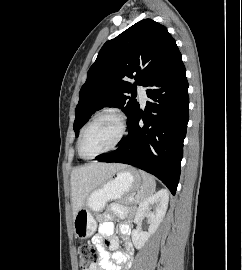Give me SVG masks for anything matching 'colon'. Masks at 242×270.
I'll use <instances>...</instances> for the list:
<instances>
[{
	"instance_id": "obj_1",
	"label": "colon",
	"mask_w": 242,
	"mask_h": 270,
	"mask_svg": "<svg viewBox=\"0 0 242 270\" xmlns=\"http://www.w3.org/2000/svg\"><path fill=\"white\" fill-rule=\"evenodd\" d=\"M77 252L79 257V265L82 270H85L98 258L97 251L88 244H81L78 246Z\"/></svg>"
}]
</instances>
